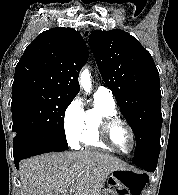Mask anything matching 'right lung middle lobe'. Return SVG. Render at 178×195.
Listing matches in <instances>:
<instances>
[{
    "instance_id": "right-lung-middle-lobe-1",
    "label": "right lung middle lobe",
    "mask_w": 178,
    "mask_h": 195,
    "mask_svg": "<svg viewBox=\"0 0 178 195\" xmlns=\"http://www.w3.org/2000/svg\"><path fill=\"white\" fill-rule=\"evenodd\" d=\"M73 99L46 93H23L12 96L14 139L48 136L65 139L64 115Z\"/></svg>"
}]
</instances>
